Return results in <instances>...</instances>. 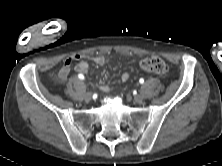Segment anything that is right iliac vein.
Wrapping results in <instances>:
<instances>
[{
	"label": "right iliac vein",
	"instance_id": "63e3f726",
	"mask_svg": "<svg viewBox=\"0 0 222 166\" xmlns=\"http://www.w3.org/2000/svg\"><path fill=\"white\" fill-rule=\"evenodd\" d=\"M92 99V93L91 92H87L86 94H85V100L86 101H90Z\"/></svg>",
	"mask_w": 222,
	"mask_h": 166
}]
</instances>
